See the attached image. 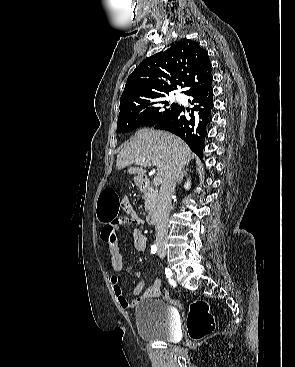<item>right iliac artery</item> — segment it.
Listing matches in <instances>:
<instances>
[{
  "label": "right iliac artery",
  "mask_w": 295,
  "mask_h": 367,
  "mask_svg": "<svg viewBox=\"0 0 295 367\" xmlns=\"http://www.w3.org/2000/svg\"><path fill=\"white\" fill-rule=\"evenodd\" d=\"M156 251H157L156 245H152L151 248H150V252L152 254H155ZM165 274H166L167 277H171L172 276V272H171V270L169 268H166L165 269Z\"/></svg>",
  "instance_id": "1"
}]
</instances>
